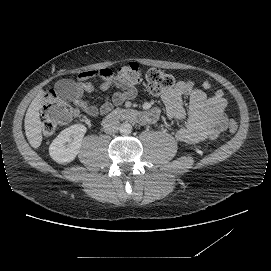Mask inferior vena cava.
I'll use <instances>...</instances> for the list:
<instances>
[{"label":"inferior vena cava","mask_w":271,"mask_h":271,"mask_svg":"<svg viewBox=\"0 0 271 271\" xmlns=\"http://www.w3.org/2000/svg\"><path fill=\"white\" fill-rule=\"evenodd\" d=\"M103 129L107 134H115L120 129V122L114 117H106L104 120Z\"/></svg>","instance_id":"1"}]
</instances>
